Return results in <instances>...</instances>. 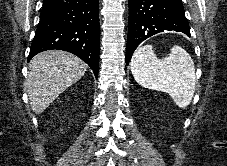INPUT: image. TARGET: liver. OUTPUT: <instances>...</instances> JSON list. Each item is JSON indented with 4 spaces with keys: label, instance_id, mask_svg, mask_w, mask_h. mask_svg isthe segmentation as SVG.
I'll use <instances>...</instances> for the list:
<instances>
[{
    "label": "liver",
    "instance_id": "1",
    "mask_svg": "<svg viewBox=\"0 0 227 166\" xmlns=\"http://www.w3.org/2000/svg\"><path fill=\"white\" fill-rule=\"evenodd\" d=\"M87 65L77 56L60 50L36 55L29 64L26 88L32 111L42 113L62 92L85 74Z\"/></svg>",
    "mask_w": 227,
    "mask_h": 166
}]
</instances>
